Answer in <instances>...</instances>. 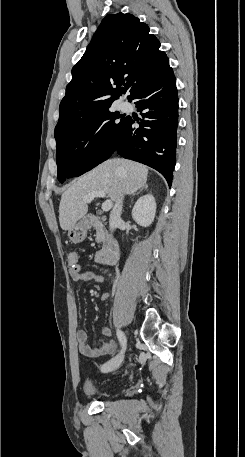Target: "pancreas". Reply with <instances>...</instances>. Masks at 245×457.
<instances>
[{"label": "pancreas", "mask_w": 245, "mask_h": 457, "mask_svg": "<svg viewBox=\"0 0 245 457\" xmlns=\"http://www.w3.org/2000/svg\"><path fill=\"white\" fill-rule=\"evenodd\" d=\"M95 229H96V243H105L106 241V229H104V224L102 222H95L94 224Z\"/></svg>", "instance_id": "pancreas-1"}]
</instances>
